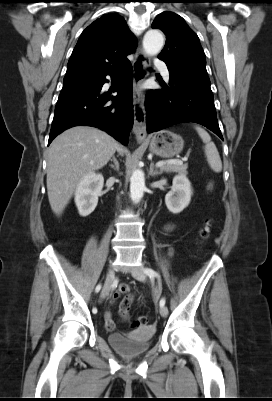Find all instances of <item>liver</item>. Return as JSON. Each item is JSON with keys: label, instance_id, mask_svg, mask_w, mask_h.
<instances>
[{"label": "liver", "instance_id": "6515ba94", "mask_svg": "<svg viewBox=\"0 0 272 401\" xmlns=\"http://www.w3.org/2000/svg\"><path fill=\"white\" fill-rule=\"evenodd\" d=\"M124 148L106 132L88 126L72 127L52 142L48 150L47 191L52 211L60 215L81 179L105 166Z\"/></svg>", "mask_w": 272, "mask_h": 401}]
</instances>
